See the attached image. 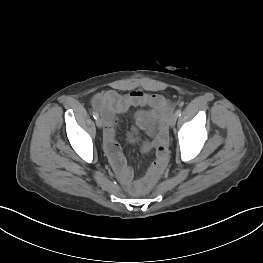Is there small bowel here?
Here are the masks:
<instances>
[{
  "label": "small bowel",
  "mask_w": 263,
  "mask_h": 263,
  "mask_svg": "<svg viewBox=\"0 0 263 263\" xmlns=\"http://www.w3.org/2000/svg\"><path fill=\"white\" fill-rule=\"evenodd\" d=\"M92 105L102 115L105 122L103 136L106 154L120 181L126 186H131L133 172L128 167L121 147L116 141V116L128 112L132 107L141 108L134 114L136 125L150 137L142 143L141 148L144 152L156 150L155 160L148 174L157 175L168 159L167 119L172 109L168 101L161 95L140 90L124 94L116 90H107L96 94ZM129 137L131 141H134L136 130Z\"/></svg>",
  "instance_id": "c3829d8e"
}]
</instances>
